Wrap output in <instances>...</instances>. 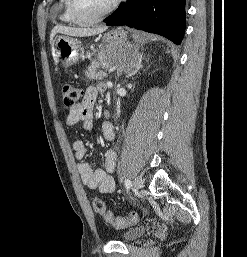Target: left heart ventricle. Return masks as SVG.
Masks as SVG:
<instances>
[{"instance_id":"obj_1","label":"left heart ventricle","mask_w":247,"mask_h":257,"mask_svg":"<svg viewBox=\"0 0 247 257\" xmlns=\"http://www.w3.org/2000/svg\"><path fill=\"white\" fill-rule=\"evenodd\" d=\"M113 0H77V7L84 17H93L103 12Z\"/></svg>"}]
</instances>
